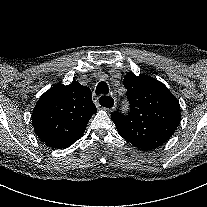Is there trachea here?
Returning a JSON list of instances; mask_svg holds the SVG:
<instances>
[{"instance_id":"3493384b","label":"trachea","mask_w":207,"mask_h":207,"mask_svg":"<svg viewBox=\"0 0 207 207\" xmlns=\"http://www.w3.org/2000/svg\"><path fill=\"white\" fill-rule=\"evenodd\" d=\"M109 91L108 85L105 82H100L96 87V94H107ZM99 102L104 107L113 106L114 100L108 96H101Z\"/></svg>"}]
</instances>
